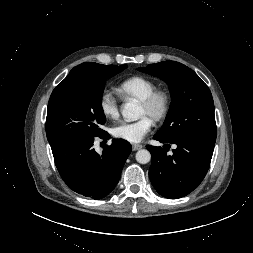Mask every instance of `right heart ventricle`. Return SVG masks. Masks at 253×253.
<instances>
[{"label": "right heart ventricle", "instance_id": "e07e8e85", "mask_svg": "<svg viewBox=\"0 0 253 253\" xmlns=\"http://www.w3.org/2000/svg\"><path fill=\"white\" fill-rule=\"evenodd\" d=\"M156 83L144 76H133L122 81L118 86L119 94L128 99L141 100L155 90Z\"/></svg>", "mask_w": 253, "mask_h": 253}]
</instances>
